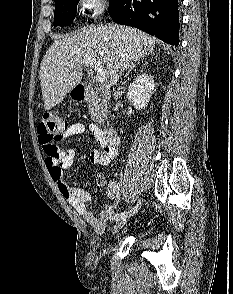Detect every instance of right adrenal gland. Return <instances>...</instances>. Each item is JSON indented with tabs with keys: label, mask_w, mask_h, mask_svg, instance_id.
I'll return each instance as SVG.
<instances>
[{
	"label": "right adrenal gland",
	"mask_w": 233,
	"mask_h": 294,
	"mask_svg": "<svg viewBox=\"0 0 233 294\" xmlns=\"http://www.w3.org/2000/svg\"><path fill=\"white\" fill-rule=\"evenodd\" d=\"M136 65H133L132 67H130V69L127 71L125 77H127V75L135 68Z\"/></svg>",
	"instance_id": "obj_1"
}]
</instances>
